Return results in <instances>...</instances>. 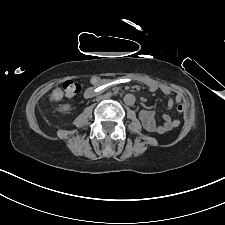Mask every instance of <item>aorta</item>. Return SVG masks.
Wrapping results in <instances>:
<instances>
[{"label": "aorta", "mask_w": 225, "mask_h": 225, "mask_svg": "<svg viewBox=\"0 0 225 225\" xmlns=\"http://www.w3.org/2000/svg\"><path fill=\"white\" fill-rule=\"evenodd\" d=\"M123 100L126 105H133L135 103V96L132 94H126Z\"/></svg>", "instance_id": "762f6f07"}]
</instances>
